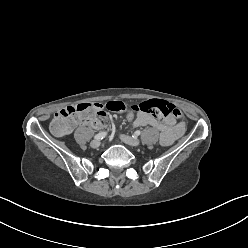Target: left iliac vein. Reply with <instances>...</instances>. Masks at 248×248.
<instances>
[{"label":"left iliac vein","instance_id":"obj_1","mask_svg":"<svg viewBox=\"0 0 248 248\" xmlns=\"http://www.w3.org/2000/svg\"><path fill=\"white\" fill-rule=\"evenodd\" d=\"M120 139L122 142L130 145V146H138L140 144V141L136 138H132L128 135L121 134Z\"/></svg>","mask_w":248,"mask_h":248}]
</instances>
